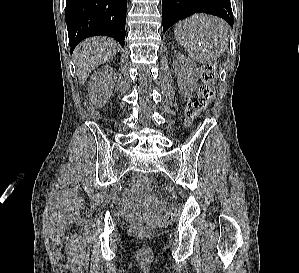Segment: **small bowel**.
<instances>
[{"instance_id":"obj_1","label":"small bowel","mask_w":299,"mask_h":273,"mask_svg":"<svg viewBox=\"0 0 299 273\" xmlns=\"http://www.w3.org/2000/svg\"><path fill=\"white\" fill-rule=\"evenodd\" d=\"M146 202L152 208L155 215H160L163 213L164 207L159 201L150 198ZM127 207L131 209V205L129 203L127 204Z\"/></svg>"}]
</instances>
